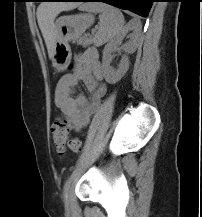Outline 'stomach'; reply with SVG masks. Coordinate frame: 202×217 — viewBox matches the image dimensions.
<instances>
[{
    "label": "stomach",
    "mask_w": 202,
    "mask_h": 217,
    "mask_svg": "<svg viewBox=\"0 0 202 217\" xmlns=\"http://www.w3.org/2000/svg\"><path fill=\"white\" fill-rule=\"evenodd\" d=\"M94 22L90 14L65 15L55 23L56 40L53 51V65L58 71L67 68L71 60L69 42L77 40Z\"/></svg>",
    "instance_id": "stomach-1"
}]
</instances>
